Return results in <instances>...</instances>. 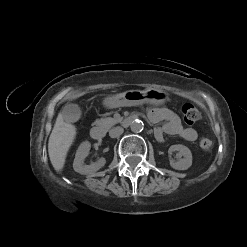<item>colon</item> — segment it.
<instances>
[{
	"label": "colon",
	"mask_w": 247,
	"mask_h": 247,
	"mask_svg": "<svg viewBox=\"0 0 247 247\" xmlns=\"http://www.w3.org/2000/svg\"><path fill=\"white\" fill-rule=\"evenodd\" d=\"M182 114L184 120L189 124H193L201 118V112L192 103H185L182 106ZM199 146L202 150L208 151L212 148L213 141L209 136H203L199 141Z\"/></svg>",
	"instance_id": "5ec220e1"
}]
</instances>
